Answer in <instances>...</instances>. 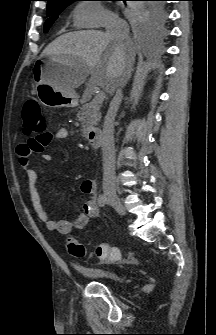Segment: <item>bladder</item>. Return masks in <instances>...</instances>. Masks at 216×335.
Listing matches in <instances>:
<instances>
[{
	"label": "bladder",
	"mask_w": 216,
	"mask_h": 335,
	"mask_svg": "<svg viewBox=\"0 0 216 335\" xmlns=\"http://www.w3.org/2000/svg\"><path fill=\"white\" fill-rule=\"evenodd\" d=\"M76 270L84 276L93 280H109L121 282L122 278L114 271L99 267L76 266Z\"/></svg>",
	"instance_id": "1"
}]
</instances>
